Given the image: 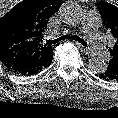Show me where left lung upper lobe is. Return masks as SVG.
<instances>
[{
  "label": "left lung upper lobe",
  "instance_id": "obj_1",
  "mask_svg": "<svg viewBox=\"0 0 118 118\" xmlns=\"http://www.w3.org/2000/svg\"><path fill=\"white\" fill-rule=\"evenodd\" d=\"M98 11L114 42L113 47L109 49L110 63L103 74L112 81H118V8L110 3L100 1L98 2Z\"/></svg>",
  "mask_w": 118,
  "mask_h": 118
}]
</instances>
